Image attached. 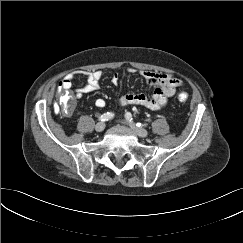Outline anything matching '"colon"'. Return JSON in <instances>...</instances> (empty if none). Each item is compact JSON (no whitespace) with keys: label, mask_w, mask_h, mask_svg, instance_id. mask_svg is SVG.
<instances>
[{"label":"colon","mask_w":243,"mask_h":243,"mask_svg":"<svg viewBox=\"0 0 243 243\" xmlns=\"http://www.w3.org/2000/svg\"><path fill=\"white\" fill-rule=\"evenodd\" d=\"M188 99V94L186 92H181L178 94V100L185 102ZM76 101L75 97L67 90L59 87V106L58 109L64 114H71L75 109Z\"/></svg>","instance_id":"colon-1"}]
</instances>
